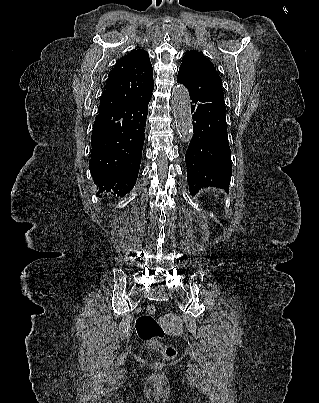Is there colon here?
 <instances>
[{
	"label": "colon",
	"mask_w": 319,
	"mask_h": 403,
	"mask_svg": "<svg viewBox=\"0 0 319 403\" xmlns=\"http://www.w3.org/2000/svg\"><path fill=\"white\" fill-rule=\"evenodd\" d=\"M156 308L148 306L145 313L140 315L135 323L138 336L145 342H157L165 335V330L155 318ZM159 354L166 360H172L176 356V350L171 345L159 344Z\"/></svg>",
	"instance_id": "colon-1"
}]
</instances>
